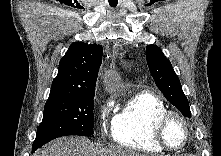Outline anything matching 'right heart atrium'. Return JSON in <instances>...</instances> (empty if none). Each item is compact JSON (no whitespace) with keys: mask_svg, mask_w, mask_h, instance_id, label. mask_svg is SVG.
Listing matches in <instances>:
<instances>
[{"mask_svg":"<svg viewBox=\"0 0 221 156\" xmlns=\"http://www.w3.org/2000/svg\"><path fill=\"white\" fill-rule=\"evenodd\" d=\"M110 110H111V103L109 102L106 103L100 110V122L103 128H105L106 126V122L109 117Z\"/></svg>","mask_w":221,"mask_h":156,"instance_id":"1","label":"right heart atrium"}]
</instances>
